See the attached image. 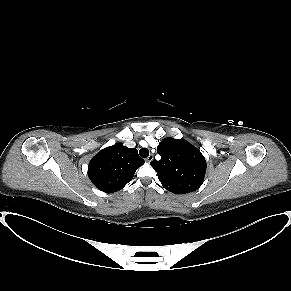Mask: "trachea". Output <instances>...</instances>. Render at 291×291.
<instances>
[{"instance_id":"trachea-1","label":"trachea","mask_w":291,"mask_h":291,"mask_svg":"<svg viewBox=\"0 0 291 291\" xmlns=\"http://www.w3.org/2000/svg\"><path fill=\"white\" fill-rule=\"evenodd\" d=\"M139 155L142 157V158H146L149 156V150L147 148H141L139 150Z\"/></svg>"}]
</instances>
